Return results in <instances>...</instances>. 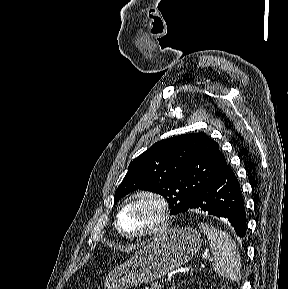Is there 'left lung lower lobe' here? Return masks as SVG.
Instances as JSON below:
<instances>
[{
  "label": "left lung lower lobe",
  "instance_id": "0a47b994",
  "mask_svg": "<svg viewBox=\"0 0 288 289\" xmlns=\"http://www.w3.org/2000/svg\"><path fill=\"white\" fill-rule=\"evenodd\" d=\"M189 209H199L217 217H224L240 237L246 235V214L239 182L226 164L216 177L194 198ZM186 210V211H187Z\"/></svg>",
  "mask_w": 288,
  "mask_h": 289
}]
</instances>
